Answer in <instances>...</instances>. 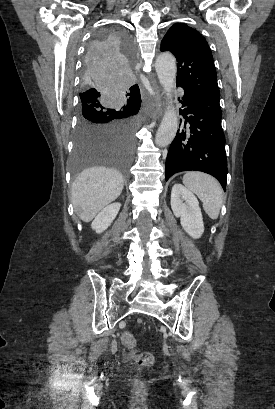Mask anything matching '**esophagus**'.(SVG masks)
Segmentation results:
<instances>
[{"mask_svg":"<svg viewBox=\"0 0 275 409\" xmlns=\"http://www.w3.org/2000/svg\"><path fill=\"white\" fill-rule=\"evenodd\" d=\"M152 88L154 89V102H155V107H156V112L158 115H161L163 113V108H162V97H161V92L160 89L154 79H150Z\"/></svg>","mask_w":275,"mask_h":409,"instance_id":"obj_1","label":"esophagus"}]
</instances>
